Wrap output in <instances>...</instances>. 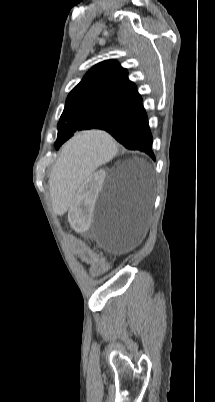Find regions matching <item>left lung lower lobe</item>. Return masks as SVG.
<instances>
[{
	"label": "left lung lower lobe",
	"mask_w": 215,
	"mask_h": 402,
	"mask_svg": "<svg viewBox=\"0 0 215 402\" xmlns=\"http://www.w3.org/2000/svg\"><path fill=\"white\" fill-rule=\"evenodd\" d=\"M96 129L107 131L127 149L143 151L155 160L152 134L140 95Z\"/></svg>",
	"instance_id": "left-lung-lower-lobe-1"
}]
</instances>
